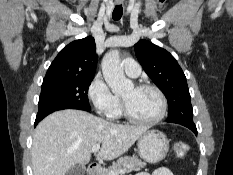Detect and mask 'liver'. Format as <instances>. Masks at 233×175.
I'll list each match as a JSON object with an SVG mask.
<instances>
[{"label":"liver","mask_w":233,"mask_h":175,"mask_svg":"<svg viewBox=\"0 0 233 175\" xmlns=\"http://www.w3.org/2000/svg\"><path fill=\"white\" fill-rule=\"evenodd\" d=\"M146 131L147 127L115 124L80 110L54 112L35 129L33 175H66L75 165L90 161L96 144H102L97 158L113 160Z\"/></svg>","instance_id":"6515ba94"}]
</instances>
